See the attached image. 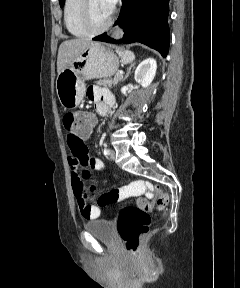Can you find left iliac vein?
I'll use <instances>...</instances> for the list:
<instances>
[{
    "mask_svg": "<svg viewBox=\"0 0 240 288\" xmlns=\"http://www.w3.org/2000/svg\"><path fill=\"white\" fill-rule=\"evenodd\" d=\"M110 158H111V160H114L116 158V153L114 150L111 151Z\"/></svg>",
    "mask_w": 240,
    "mask_h": 288,
    "instance_id": "1",
    "label": "left iliac vein"
}]
</instances>
